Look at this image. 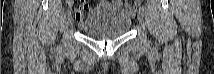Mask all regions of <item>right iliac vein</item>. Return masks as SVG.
Here are the masks:
<instances>
[{"label":"right iliac vein","instance_id":"right-iliac-vein-1","mask_svg":"<svg viewBox=\"0 0 214 74\" xmlns=\"http://www.w3.org/2000/svg\"><path fill=\"white\" fill-rule=\"evenodd\" d=\"M71 22H72V15H71V13H69L67 15V25H69Z\"/></svg>","mask_w":214,"mask_h":74}]
</instances>
